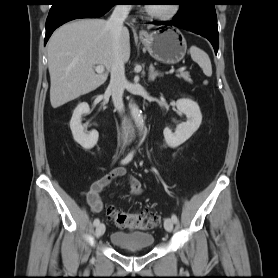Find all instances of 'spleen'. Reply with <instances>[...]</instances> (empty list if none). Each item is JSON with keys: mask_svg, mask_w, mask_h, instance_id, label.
Instances as JSON below:
<instances>
[{"mask_svg": "<svg viewBox=\"0 0 278 278\" xmlns=\"http://www.w3.org/2000/svg\"><path fill=\"white\" fill-rule=\"evenodd\" d=\"M190 54L192 59L202 68L203 73L210 77L212 75V65L207 53L196 46H192Z\"/></svg>", "mask_w": 278, "mask_h": 278, "instance_id": "obj_1", "label": "spleen"}]
</instances>
